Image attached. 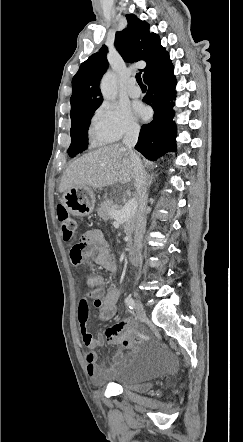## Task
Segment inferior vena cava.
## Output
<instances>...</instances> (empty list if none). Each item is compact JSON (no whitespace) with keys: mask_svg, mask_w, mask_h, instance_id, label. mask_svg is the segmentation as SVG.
<instances>
[{"mask_svg":"<svg viewBox=\"0 0 243 442\" xmlns=\"http://www.w3.org/2000/svg\"><path fill=\"white\" fill-rule=\"evenodd\" d=\"M140 128L136 125H131L123 138V144L130 153V157L134 166V185L138 194V203L135 202L138 211L135 215V234H134V248L139 251L142 245L143 234L146 228L145 208L147 204V188H146V174L143 169L142 162L134 151V146L138 141ZM129 203V202H128Z\"/></svg>","mask_w":243,"mask_h":442,"instance_id":"602c4592","label":"inferior vena cava"}]
</instances>
